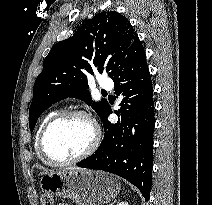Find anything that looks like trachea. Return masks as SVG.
<instances>
[{
	"label": "trachea",
	"instance_id": "1",
	"mask_svg": "<svg viewBox=\"0 0 212 205\" xmlns=\"http://www.w3.org/2000/svg\"><path fill=\"white\" fill-rule=\"evenodd\" d=\"M102 93H106V91H102Z\"/></svg>",
	"mask_w": 212,
	"mask_h": 205
}]
</instances>
